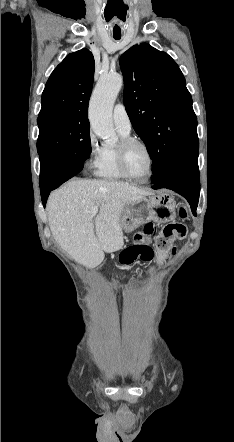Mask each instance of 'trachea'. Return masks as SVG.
Returning <instances> with one entry per match:
<instances>
[{
	"instance_id": "3493384b",
	"label": "trachea",
	"mask_w": 234,
	"mask_h": 442,
	"mask_svg": "<svg viewBox=\"0 0 234 442\" xmlns=\"http://www.w3.org/2000/svg\"><path fill=\"white\" fill-rule=\"evenodd\" d=\"M116 40H119L120 38H116V37H114Z\"/></svg>"
}]
</instances>
